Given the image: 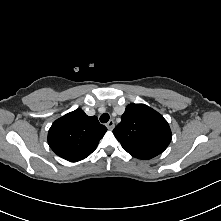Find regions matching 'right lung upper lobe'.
<instances>
[{"mask_svg": "<svg viewBox=\"0 0 221 221\" xmlns=\"http://www.w3.org/2000/svg\"><path fill=\"white\" fill-rule=\"evenodd\" d=\"M107 128L96 116L89 117L76 109L57 119L49 129L48 144L58 156L77 162L88 157L104 136Z\"/></svg>", "mask_w": 221, "mask_h": 221, "instance_id": "1", "label": "right lung upper lobe"}]
</instances>
